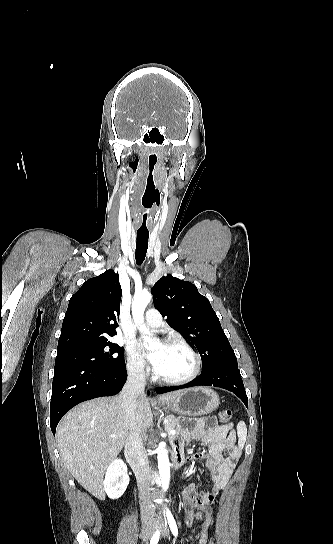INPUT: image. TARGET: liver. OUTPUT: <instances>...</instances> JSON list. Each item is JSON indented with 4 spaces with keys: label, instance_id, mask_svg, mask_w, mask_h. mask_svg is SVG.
<instances>
[{
    "label": "liver",
    "instance_id": "obj_1",
    "mask_svg": "<svg viewBox=\"0 0 333 544\" xmlns=\"http://www.w3.org/2000/svg\"><path fill=\"white\" fill-rule=\"evenodd\" d=\"M182 392L162 394L159 401L173 402ZM136 413L140 432L153 425L150 403L144 395L137 400ZM129 433L118 395L76 406L59 423L56 437L62 460L78 483L95 497L104 499V471L122 450Z\"/></svg>",
    "mask_w": 333,
    "mask_h": 544
}]
</instances>
